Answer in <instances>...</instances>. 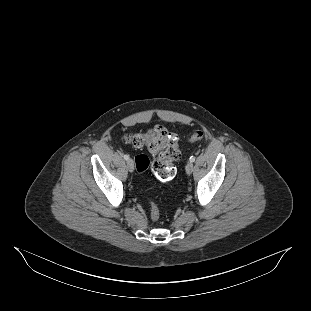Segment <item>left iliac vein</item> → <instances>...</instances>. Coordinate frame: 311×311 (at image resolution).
Listing matches in <instances>:
<instances>
[{
	"instance_id": "obj_1",
	"label": "left iliac vein",
	"mask_w": 311,
	"mask_h": 311,
	"mask_svg": "<svg viewBox=\"0 0 311 311\" xmlns=\"http://www.w3.org/2000/svg\"><path fill=\"white\" fill-rule=\"evenodd\" d=\"M186 173L187 174H191L194 170V165L192 162H189L187 165H186Z\"/></svg>"
}]
</instances>
